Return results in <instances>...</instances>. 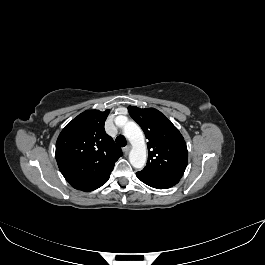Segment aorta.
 <instances>
[{
  "instance_id": "aorta-1",
  "label": "aorta",
  "mask_w": 265,
  "mask_h": 265,
  "mask_svg": "<svg viewBox=\"0 0 265 265\" xmlns=\"http://www.w3.org/2000/svg\"><path fill=\"white\" fill-rule=\"evenodd\" d=\"M123 133L132 145L129 153L131 165L136 169H142L147 160V149L142 130L135 122L129 121L125 123Z\"/></svg>"
}]
</instances>
